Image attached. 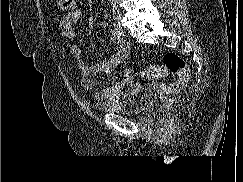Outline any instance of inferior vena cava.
<instances>
[{"label":"inferior vena cava","mask_w":243,"mask_h":182,"mask_svg":"<svg viewBox=\"0 0 243 182\" xmlns=\"http://www.w3.org/2000/svg\"><path fill=\"white\" fill-rule=\"evenodd\" d=\"M113 15H119L120 10L118 9L117 0H110Z\"/></svg>","instance_id":"602c4592"}]
</instances>
